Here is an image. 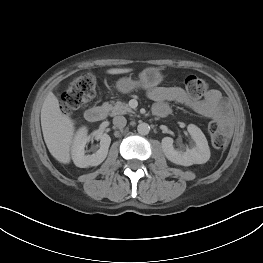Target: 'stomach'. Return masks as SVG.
<instances>
[{
    "mask_svg": "<svg viewBox=\"0 0 263 263\" xmlns=\"http://www.w3.org/2000/svg\"><path fill=\"white\" fill-rule=\"evenodd\" d=\"M163 80V76L158 68L148 67L139 74V80H133L131 77L120 78L116 82V89L127 94L137 88L151 89L159 85Z\"/></svg>",
    "mask_w": 263,
    "mask_h": 263,
    "instance_id": "stomach-1",
    "label": "stomach"
}]
</instances>
